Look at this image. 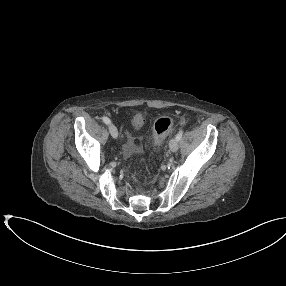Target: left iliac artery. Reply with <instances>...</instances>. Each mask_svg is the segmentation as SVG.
<instances>
[{
    "instance_id": "1",
    "label": "left iliac artery",
    "mask_w": 286,
    "mask_h": 286,
    "mask_svg": "<svg viewBox=\"0 0 286 286\" xmlns=\"http://www.w3.org/2000/svg\"><path fill=\"white\" fill-rule=\"evenodd\" d=\"M182 135H183V131L180 130V131L178 132V134L176 135V139H177L178 141H180L181 138H182Z\"/></svg>"
}]
</instances>
